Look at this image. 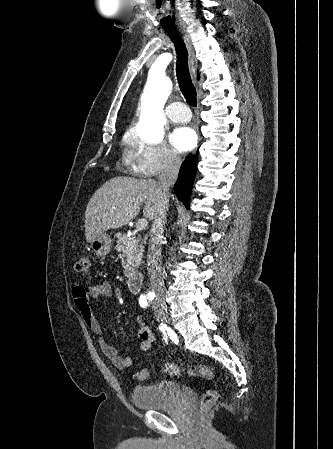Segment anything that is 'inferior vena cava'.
<instances>
[{"mask_svg": "<svg viewBox=\"0 0 333 449\" xmlns=\"http://www.w3.org/2000/svg\"><path fill=\"white\" fill-rule=\"evenodd\" d=\"M181 163V159L177 155L170 154L165 168L159 175V184L162 191L161 201L158 205L152 224L147 253V269L150 277L151 289L156 295H161L164 291L163 270L161 267V243L163 238L164 220L168 210L169 188L177 180Z\"/></svg>", "mask_w": 333, "mask_h": 449, "instance_id": "1", "label": "inferior vena cava"}]
</instances>
